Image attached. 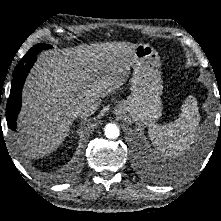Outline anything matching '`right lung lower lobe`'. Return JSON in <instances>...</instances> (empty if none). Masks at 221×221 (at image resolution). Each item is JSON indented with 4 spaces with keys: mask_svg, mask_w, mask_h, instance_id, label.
I'll return each instance as SVG.
<instances>
[{
    "mask_svg": "<svg viewBox=\"0 0 221 221\" xmlns=\"http://www.w3.org/2000/svg\"><path fill=\"white\" fill-rule=\"evenodd\" d=\"M36 61V54L24 56L13 73L10 96L6 106V119L10 129L15 130L16 120L21 107V93L29 70Z\"/></svg>",
    "mask_w": 221,
    "mask_h": 221,
    "instance_id": "obj_1",
    "label": "right lung lower lobe"
}]
</instances>
